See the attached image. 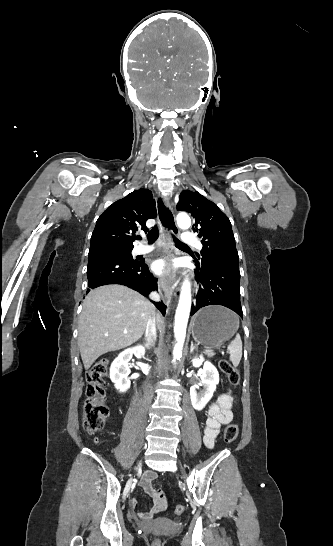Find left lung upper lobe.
<instances>
[{"instance_id":"5c2ea615","label":"left lung upper lobe","mask_w":333,"mask_h":546,"mask_svg":"<svg viewBox=\"0 0 333 546\" xmlns=\"http://www.w3.org/2000/svg\"><path fill=\"white\" fill-rule=\"evenodd\" d=\"M178 211H186L195 220L194 231L202 239L201 255L195 258L196 267L238 264L239 257L235 238L228 217L216 204L198 192L182 191L177 204Z\"/></svg>"}]
</instances>
